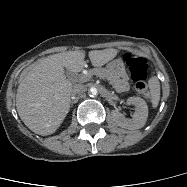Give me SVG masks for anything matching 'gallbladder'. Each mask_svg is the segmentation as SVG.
<instances>
[{"mask_svg": "<svg viewBox=\"0 0 187 187\" xmlns=\"http://www.w3.org/2000/svg\"><path fill=\"white\" fill-rule=\"evenodd\" d=\"M66 74H67V76H68L69 78H71L72 73H70L69 71H66Z\"/></svg>", "mask_w": 187, "mask_h": 187, "instance_id": "bac80fb5", "label": "gallbladder"}]
</instances>
